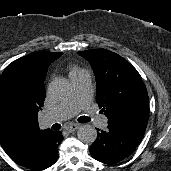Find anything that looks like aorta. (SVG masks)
<instances>
[{"label": "aorta", "instance_id": "aorta-1", "mask_svg": "<svg viewBox=\"0 0 171 171\" xmlns=\"http://www.w3.org/2000/svg\"><path fill=\"white\" fill-rule=\"evenodd\" d=\"M70 83L64 78H56L48 86L49 95L57 100L65 98L70 93ZM78 139L86 144H92L97 138L96 129L89 124L82 125L77 132Z\"/></svg>", "mask_w": 171, "mask_h": 171}]
</instances>
